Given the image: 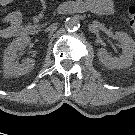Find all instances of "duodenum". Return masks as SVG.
<instances>
[{"label":"duodenum","instance_id":"410a0bca","mask_svg":"<svg viewBox=\"0 0 135 135\" xmlns=\"http://www.w3.org/2000/svg\"><path fill=\"white\" fill-rule=\"evenodd\" d=\"M32 31H33V29L31 27L24 28V33H26V34H31Z\"/></svg>","mask_w":135,"mask_h":135}]
</instances>
